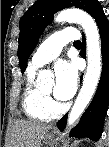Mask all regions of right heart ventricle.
<instances>
[{
	"instance_id": "1",
	"label": "right heart ventricle",
	"mask_w": 109,
	"mask_h": 147,
	"mask_svg": "<svg viewBox=\"0 0 109 147\" xmlns=\"http://www.w3.org/2000/svg\"><path fill=\"white\" fill-rule=\"evenodd\" d=\"M37 69L29 65L25 72L22 103L28 117L44 121L51 117L53 109L48 106L42 90L35 84Z\"/></svg>"
}]
</instances>
